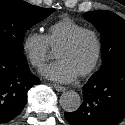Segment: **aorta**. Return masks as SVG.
Returning a JSON list of instances; mask_svg holds the SVG:
<instances>
[{
	"mask_svg": "<svg viewBox=\"0 0 125 125\" xmlns=\"http://www.w3.org/2000/svg\"><path fill=\"white\" fill-rule=\"evenodd\" d=\"M60 105L67 112L76 111L81 105L79 94L73 90L64 92L60 97Z\"/></svg>",
	"mask_w": 125,
	"mask_h": 125,
	"instance_id": "1",
	"label": "aorta"
}]
</instances>
